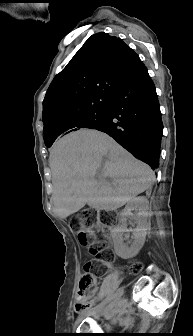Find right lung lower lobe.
Returning <instances> with one entry per match:
<instances>
[{
	"label": "right lung lower lobe",
	"mask_w": 193,
	"mask_h": 336,
	"mask_svg": "<svg viewBox=\"0 0 193 336\" xmlns=\"http://www.w3.org/2000/svg\"><path fill=\"white\" fill-rule=\"evenodd\" d=\"M106 124L98 129L152 169L159 166L163 124L155 86L143 63L114 95Z\"/></svg>",
	"instance_id": "obj_1"
}]
</instances>
